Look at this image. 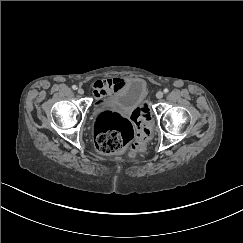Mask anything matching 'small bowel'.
Returning a JSON list of instances; mask_svg holds the SVG:
<instances>
[{"mask_svg": "<svg viewBox=\"0 0 243 243\" xmlns=\"http://www.w3.org/2000/svg\"><path fill=\"white\" fill-rule=\"evenodd\" d=\"M124 82L125 80L119 77L97 80L93 83V94L98 100H101L117 91Z\"/></svg>", "mask_w": 243, "mask_h": 243, "instance_id": "c3829d8e", "label": "small bowel"}]
</instances>
